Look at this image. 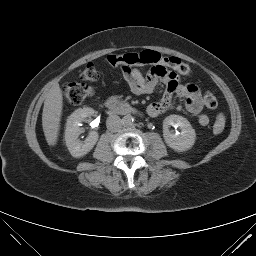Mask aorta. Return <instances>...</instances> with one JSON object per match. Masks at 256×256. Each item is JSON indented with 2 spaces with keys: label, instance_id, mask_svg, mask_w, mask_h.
Listing matches in <instances>:
<instances>
[{
  "label": "aorta",
  "instance_id": "obj_1",
  "mask_svg": "<svg viewBox=\"0 0 256 256\" xmlns=\"http://www.w3.org/2000/svg\"><path fill=\"white\" fill-rule=\"evenodd\" d=\"M122 123L124 126H131L134 123V117L128 114L122 118Z\"/></svg>",
  "mask_w": 256,
  "mask_h": 256
}]
</instances>
